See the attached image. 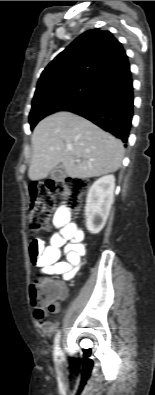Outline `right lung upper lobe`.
I'll return each mask as SVG.
<instances>
[{"instance_id":"1","label":"right lung upper lobe","mask_w":155,"mask_h":395,"mask_svg":"<svg viewBox=\"0 0 155 395\" xmlns=\"http://www.w3.org/2000/svg\"><path fill=\"white\" fill-rule=\"evenodd\" d=\"M129 68L128 56L112 33L89 30L48 64L39 78L36 92L74 80L101 82L108 75Z\"/></svg>"}]
</instances>
